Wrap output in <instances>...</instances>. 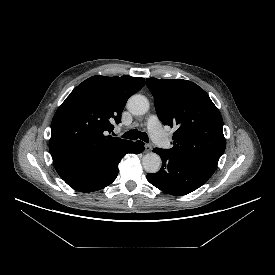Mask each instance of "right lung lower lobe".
Masks as SVG:
<instances>
[{
    "mask_svg": "<svg viewBox=\"0 0 275 275\" xmlns=\"http://www.w3.org/2000/svg\"><path fill=\"white\" fill-rule=\"evenodd\" d=\"M144 151V143L132 142L108 163L93 170L63 179L70 187L79 192H93L111 184L118 175V164L127 153L139 154Z\"/></svg>",
    "mask_w": 275,
    "mask_h": 275,
    "instance_id": "98d812e1",
    "label": "right lung lower lobe"
}]
</instances>
